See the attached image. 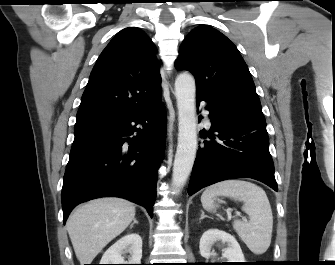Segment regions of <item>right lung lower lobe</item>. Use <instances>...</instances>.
<instances>
[{"label": "right lung lower lobe", "mask_w": 335, "mask_h": 265, "mask_svg": "<svg viewBox=\"0 0 335 265\" xmlns=\"http://www.w3.org/2000/svg\"><path fill=\"white\" fill-rule=\"evenodd\" d=\"M74 135L61 195L64 224L75 206L105 196L128 199L152 216L166 140L162 99L149 108L75 129Z\"/></svg>", "instance_id": "1"}]
</instances>
